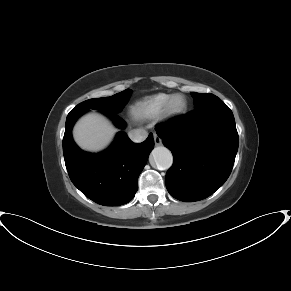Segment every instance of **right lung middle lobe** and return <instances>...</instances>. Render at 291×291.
Masks as SVG:
<instances>
[{
    "instance_id": "dd1d6c3e",
    "label": "right lung middle lobe",
    "mask_w": 291,
    "mask_h": 291,
    "mask_svg": "<svg viewBox=\"0 0 291 291\" xmlns=\"http://www.w3.org/2000/svg\"><path fill=\"white\" fill-rule=\"evenodd\" d=\"M131 94L130 89H126L110 97L94 98L79 103L74 109H96L103 112L119 113L126 105Z\"/></svg>"
}]
</instances>
